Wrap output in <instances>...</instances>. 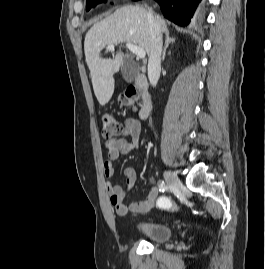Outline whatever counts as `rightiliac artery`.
Masks as SVG:
<instances>
[{"mask_svg":"<svg viewBox=\"0 0 265 269\" xmlns=\"http://www.w3.org/2000/svg\"><path fill=\"white\" fill-rule=\"evenodd\" d=\"M159 191L164 192L167 189V186L165 185L164 181H160L158 184Z\"/></svg>","mask_w":265,"mask_h":269,"instance_id":"right-iliac-artery-1","label":"right iliac artery"}]
</instances>
